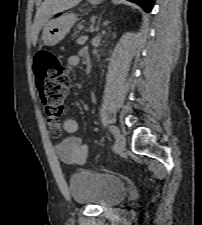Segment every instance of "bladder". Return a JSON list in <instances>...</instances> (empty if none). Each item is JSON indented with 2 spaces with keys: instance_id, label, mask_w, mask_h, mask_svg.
Instances as JSON below:
<instances>
[{
  "instance_id": "31cf9c89",
  "label": "bladder",
  "mask_w": 202,
  "mask_h": 225,
  "mask_svg": "<svg viewBox=\"0 0 202 225\" xmlns=\"http://www.w3.org/2000/svg\"><path fill=\"white\" fill-rule=\"evenodd\" d=\"M71 198L80 205L111 207L125 198V183L118 177L96 170L74 173L68 183Z\"/></svg>"
}]
</instances>
